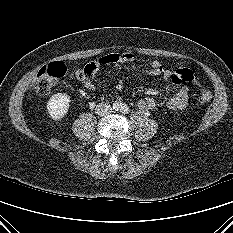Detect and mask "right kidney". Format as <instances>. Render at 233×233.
I'll use <instances>...</instances> for the list:
<instances>
[{"label": "right kidney", "instance_id": "right-kidney-1", "mask_svg": "<svg viewBox=\"0 0 233 233\" xmlns=\"http://www.w3.org/2000/svg\"><path fill=\"white\" fill-rule=\"evenodd\" d=\"M70 107V97L64 93H56L47 102V111L54 120L63 118Z\"/></svg>", "mask_w": 233, "mask_h": 233}]
</instances>
